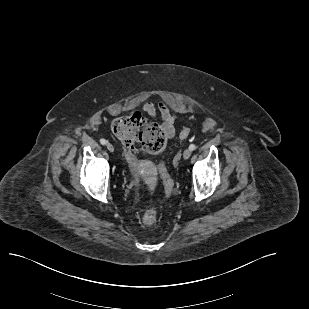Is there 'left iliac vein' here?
I'll list each match as a JSON object with an SVG mask.
<instances>
[{"instance_id": "obj_1", "label": "left iliac vein", "mask_w": 309, "mask_h": 309, "mask_svg": "<svg viewBox=\"0 0 309 309\" xmlns=\"http://www.w3.org/2000/svg\"><path fill=\"white\" fill-rule=\"evenodd\" d=\"M190 156H191V150H190V149H186V150L183 152V158H184V159H188Z\"/></svg>"}]
</instances>
